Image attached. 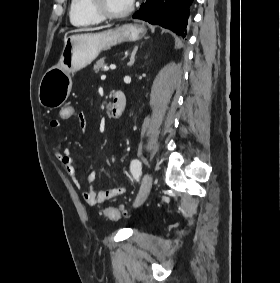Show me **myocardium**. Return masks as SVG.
<instances>
[{
    "label": "myocardium",
    "instance_id": "myocardium-1",
    "mask_svg": "<svg viewBox=\"0 0 280 283\" xmlns=\"http://www.w3.org/2000/svg\"><path fill=\"white\" fill-rule=\"evenodd\" d=\"M91 8L105 20H115L127 17L134 9V2L132 1L130 6L123 12L113 13L109 11L105 5L104 0H89Z\"/></svg>",
    "mask_w": 280,
    "mask_h": 283
}]
</instances>
